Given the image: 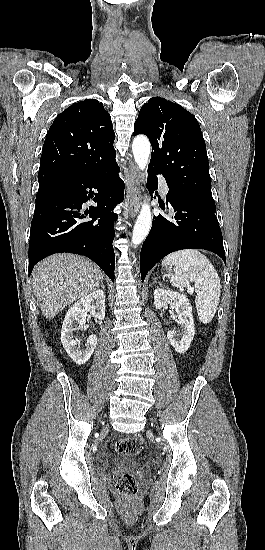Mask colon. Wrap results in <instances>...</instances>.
<instances>
[{
	"label": "colon",
	"instance_id": "1",
	"mask_svg": "<svg viewBox=\"0 0 265 550\" xmlns=\"http://www.w3.org/2000/svg\"><path fill=\"white\" fill-rule=\"evenodd\" d=\"M143 449L141 440L135 437H125L115 444V451L123 455H137ZM116 491L123 497L131 499L137 495L138 486L133 475L130 473L119 474L114 482Z\"/></svg>",
	"mask_w": 265,
	"mask_h": 550
}]
</instances>
